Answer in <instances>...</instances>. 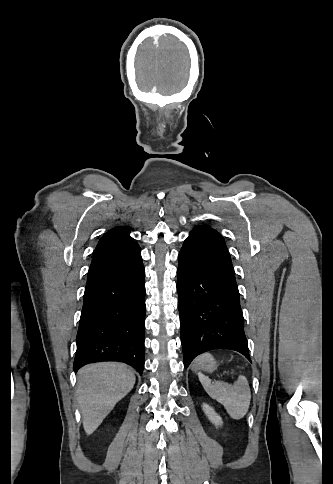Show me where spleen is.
Wrapping results in <instances>:
<instances>
[{
	"label": "spleen",
	"instance_id": "obj_1",
	"mask_svg": "<svg viewBox=\"0 0 333 484\" xmlns=\"http://www.w3.org/2000/svg\"><path fill=\"white\" fill-rule=\"evenodd\" d=\"M198 377L207 394L223 405L231 418L238 420L246 415L251 401L246 377L239 376L234 385L221 381L211 382L203 373H199Z\"/></svg>",
	"mask_w": 333,
	"mask_h": 484
}]
</instances>
